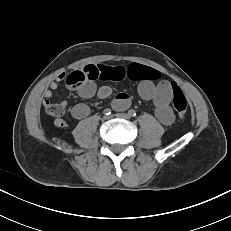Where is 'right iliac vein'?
<instances>
[{
	"label": "right iliac vein",
	"mask_w": 231,
	"mask_h": 231,
	"mask_svg": "<svg viewBox=\"0 0 231 231\" xmlns=\"http://www.w3.org/2000/svg\"><path fill=\"white\" fill-rule=\"evenodd\" d=\"M109 117L108 116H104V119H108Z\"/></svg>",
	"instance_id": "obj_1"
}]
</instances>
